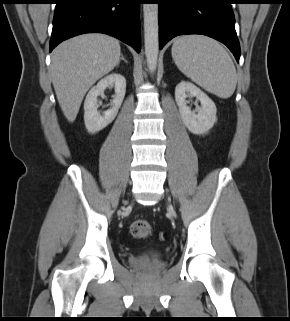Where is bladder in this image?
I'll list each match as a JSON object with an SVG mask.
<instances>
[{"mask_svg": "<svg viewBox=\"0 0 290 321\" xmlns=\"http://www.w3.org/2000/svg\"><path fill=\"white\" fill-rule=\"evenodd\" d=\"M162 252L161 251H151L150 252V254H149V256L151 257V258H159V257H161L162 256Z\"/></svg>", "mask_w": 290, "mask_h": 321, "instance_id": "bladder-1", "label": "bladder"}]
</instances>
